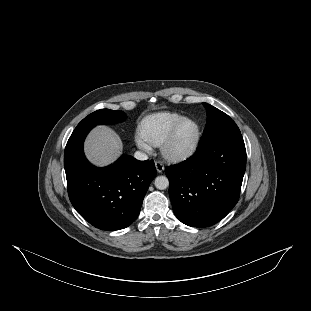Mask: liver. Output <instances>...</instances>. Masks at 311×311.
<instances>
[{
  "label": "liver",
  "mask_w": 311,
  "mask_h": 311,
  "mask_svg": "<svg viewBox=\"0 0 311 311\" xmlns=\"http://www.w3.org/2000/svg\"><path fill=\"white\" fill-rule=\"evenodd\" d=\"M87 158L97 166H106L120 156L123 143L119 135L107 126L93 129L85 141Z\"/></svg>",
  "instance_id": "6515ba94"
}]
</instances>
